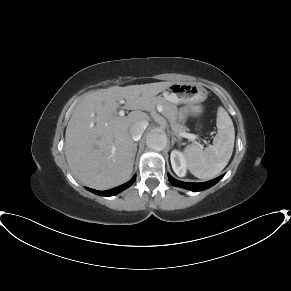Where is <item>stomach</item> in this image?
Segmentation results:
<instances>
[{
    "mask_svg": "<svg viewBox=\"0 0 291 291\" xmlns=\"http://www.w3.org/2000/svg\"><path fill=\"white\" fill-rule=\"evenodd\" d=\"M207 90L193 83H173L163 91L166 100L172 103H185L190 114L198 116L202 112L199 105L207 98Z\"/></svg>",
    "mask_w": 291,
    "mask_h": 291,
    "instance_id": "1",
    "label": "stomach"
}]
</instances>
